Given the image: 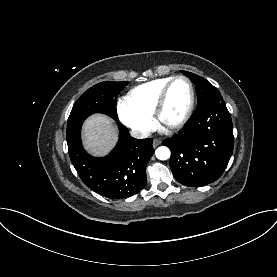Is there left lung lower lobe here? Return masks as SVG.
I'll return each mask as SVG.
<instances>
[{
    "instance_id": "obj_1",
    "label": "left lung lower lobe",
    "mask_w": 277,
    "mask_h": 277,
    "mask_svg": "<svg viewBox=\"0 0 277 277\" xmlns=\"http://www.w3.org/2000/svg\"><path fill=\"white\" fill-rule=\"evenodd\" d=\"M163 144L171 150L170 167L178 182L201 187L216 181L234 147L232 120L222 96L197 107L183 131Z\"/></svg>"
}]
</instances>
